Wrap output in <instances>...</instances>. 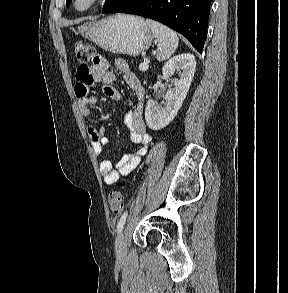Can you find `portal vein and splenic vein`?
I'll return each instance as SVG.
<instances>
[{
  "label": "portal vein and splenic vein",
  "mask_w": 288,
  "mask_h": 293,
  "mask_svg": "<svg viewBox=\"0 0 288 293\" xmlns=\"http://www.w3.org/2000/svg\"><path fill=\"white\" fill-rule=\"evenodd\" d=\"M149 60L144 59V62L140 64L139 69L145 71L148 69Z\"/></svg>",
  "instance_id": "18ae733b"
}]
</instances>
